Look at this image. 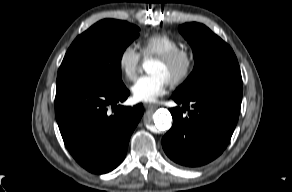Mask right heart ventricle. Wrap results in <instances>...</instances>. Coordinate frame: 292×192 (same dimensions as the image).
I'll return each mask as SVG.
<instances>
[{"label": "right heart ventricle", "mask_w": 292, "mask_h": 192, "mask_svg": "<svg viewBox=\"0 0 292 192\" xmlns=\"http://www.w3.org/2000/svg\"><path fill=\"white\" fill-rule=\"evenodd\" d=\"M143 55H162L180 48L178 39L167 33L159 32L146 36L140 43Z\"/></svg>", "instance_id": "e07e8e85"}]
</instances>
